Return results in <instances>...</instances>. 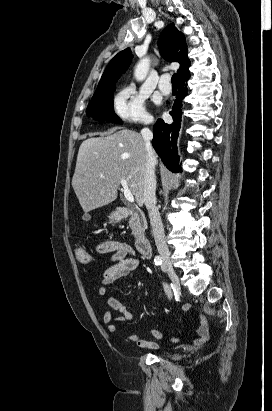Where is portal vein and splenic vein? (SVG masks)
<instances>
[{"label": "portal vein and splenic vein", "mask_w": 272, "mask_h": 411, "mask_svg": "<svg viewBox=\"0 0 272 411\" xmlns=\"http://www.w3.org/2000/svg\"><path fill=\"white\" fill-rule=\"evenodd\" d=\"M122 187H123V193H124V197L128 202L133 203L134 202V196L132 194V192L129 189V186L127 184V181L125 179H121L120 181Z\"/></svg>", "instance_id": "1"}]
</instances>
